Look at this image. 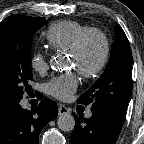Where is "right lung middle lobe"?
Returning <instances> with one entry per match:
<instances>
[{
	"label": "right lung middle lobe",
	"instance_id": "dd1d6c3e",
	"mask_svg": "<svg viewBox=\"0 0 144 144\" xmlns=\"http://www.w3.org/2000/svg\"><path fill=\"white\" fill-rule=\"evenodd\" d=\"M44 17L14 15L0 23V95L13 106L28 91L31 72V41L45 23Z\"/></svg>",
	"mask_w": 144,
	"mask_h": 144
}]
</instances>
